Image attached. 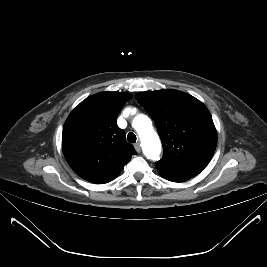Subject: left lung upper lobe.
I'll return each instance as SVG.
<instances>
[{
	"instance_id": "5c2ea615",
	"label": "left lung upper lobe",
	"mask_w": 267,
	"mask_h": 267,
	"mask_svg": "<svg viewBox=\"0 0 267 267\" xmlns=\"http://www.w3.org/2000/svg\"><path fill=\"white\" fill-rule=\"evenodd\" d=\"M153 118L163 145V158L155 165L194 177L211 160L217 133L210 112L195 97L177 90L136 94Z\"/></svg>"
}]
</instances>
